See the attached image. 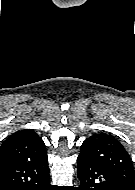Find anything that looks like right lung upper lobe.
Returning a JSON list of instances; mask_svg holds the SVG:
<instances>
[{
    "label": "right lung upper lobe",
    "instance_id": "right-lung-upper-lobe-1",
    "mask_svg": "<svg viewBox=\"0 0 135 190\" xmlns=\"http://www.w3.org/2000/svg\"><path fill=\"white\" fill-rule=\"evenodd\" d=\"M45 157V143L32 129H24L10 135L0 147V165L37 161Z\"/></svg>",
    "mask_w": 135,
    "mask_h": 190
}]
</instances>
